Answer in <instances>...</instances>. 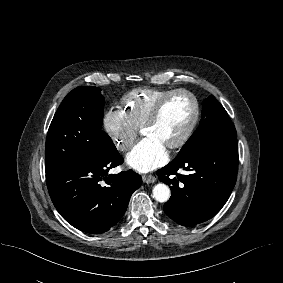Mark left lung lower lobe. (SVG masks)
Returning <instances> with one entry per match:
<instances>
[{"label":"left lung lower lobe","instance_id":"left-lung-lower-lobe-1","mask_svg":"<svg viewBox=\"0 0 283 283\" xmlns=\"http://www.w3.org/2000/svg\"><path fill=\"white\" fill-rule=\"evenodd\" d=\"M237 168L236 138L202 144L177 155L156 172L171 189L165 213L183 226L212 218L228 200L237 180ZM178 170L187 173L179 174ZM170 175L175 177L171 179Z\"/></svg>","mask_w":283,"mask_h":283}]
</instances>
